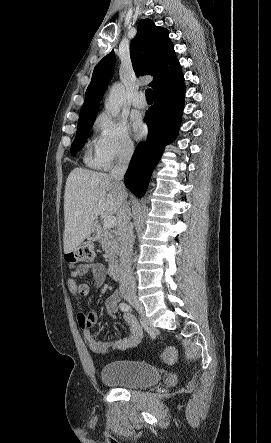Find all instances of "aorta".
<instances>
[{
  "mask_svg": "<svg viewBox=\"0 0 271 443\" xmlns=\"http://www.w3.org/2000/svg\"><path fill=\"white\" fill-rule=\"evenodd\" d=\"M125 100L124 86L119 84V82H116V84H113L105 102L106 112H109L113 118H117Z\"/></svg>",
  "mask_w": 271,
  "mask_h": 443,
  "instance_id": "aorta-1",
  "label": "aorta"
}]
</instances>
